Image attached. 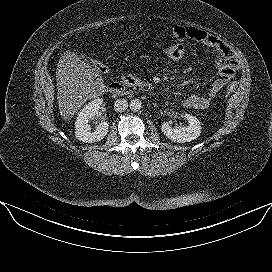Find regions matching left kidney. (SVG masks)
Wrapping results in <instances>:
<instances>
[{
    "label": "left kidney",
    "instance_id": "5707ae66",
    "mask_svg": "<svg viewBox=\"0 0 272 272\" xmlns=\"http://www.w3.org/2000/svg\"><path fill=\"white\" fill-rule=\"evenodd\" d=\"M184 117L188 121L187 126L172 128L169 122H164L161 126L163 134L173 142H191L201 134V125L199 120L190 114H185Z\"/></svg>",
    "mask_w": 272,
    "mask_h": 272
}]
</instances>
